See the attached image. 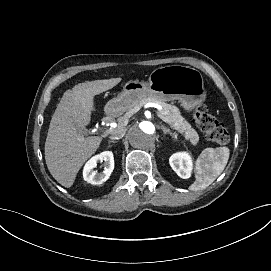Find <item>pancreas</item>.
<instances>
[{
  "mask_svg": "<svg viewBox=\"0 0 271 271\" xmlns=\"http://www.w3.org/2000/svg\"><path fill=\"white\" fill-rule=\"evenodd\" d=\"M157 103L163 107V110L159 111V113L170 121V125L179 132L184 138H186L193 145L197 142L193 140V136H196L197 133L194 129L190 127V125L184 120V118L180 115L177 108H174L164 102L156 100ZM152 102V100H149ZM126 118L121 119L120 124L124 126Z\"/></svg>",
  "mask_w": 271,
  "mask_h": 271,
  "instance_id": "pancreas-1",
  "label": "pancreas"
}]
</instances>
